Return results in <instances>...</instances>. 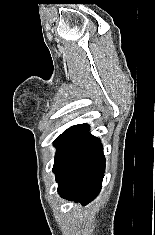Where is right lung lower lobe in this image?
Segmentation results:
<instances>
[{"mask_svg":"<svg viewBox=\"0 0 155 235\" xmlns=\"http://www.w3.org/2000/svg\"><path fill=\"white\" fill-rule=\"evenodd\" d=\"M58 192L67 199L91 202L100 192L105 158L100 140L87 131L54 163Z\"/></svg>","mask_w":155,"mask_h":235,"instance_id":"right-lung-lower-lobe-1","label":"right lung lower lobe"}]
</instances>
